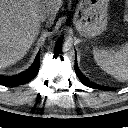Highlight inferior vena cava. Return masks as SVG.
I'll return each instance as SVG.
<instances>
[{
    "label": "inferior vena cava",
    "instance_id": "inferior-vena-cava-1",
    "mask_svg": "<svg viewBox=\"0 0 128 128\" xmlns=\"http://www.w3.org/2000/svg\"><path fill=\"white\" fill-rule=\"evenodd\" d=\"M38 18H39V21H46L47 20V15L46 14H40L39 16H38Z\"/></svg>",
    "mask_w": 128,
    "mask_h": 128
}]
</instances>
